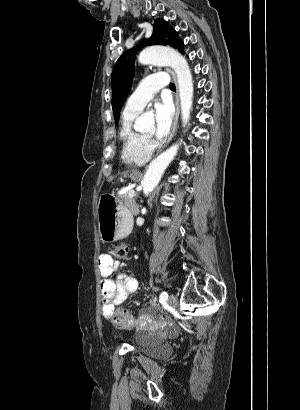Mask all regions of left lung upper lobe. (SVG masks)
Listing matches in <instances>:
<instances>
[{
  "label": "left lung upper lobe",
  "mask_w": 300,
  "mask_h": 410,
  "mask_svg": "<svg viewBox=\"0 0 300 410\" xmlns=\"http://www.w3.org/2000/svg\"><path fill=\"white\" fill-rule=\"evenodd\" d=\"M149 45H170L182 53L184 47L176 31L163 19L154 21L152 36L141 43V46ZM134 59V49L127 50L119 57L112 72V108L116 124L133 81Z\"/></svg>",
  "instance_id": "1"
}]
</instances>
